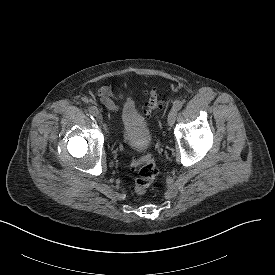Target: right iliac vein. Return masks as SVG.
<instances>
[{"mask_svg":"<svg viewBox=\"0 0 275 275\" xmlns=\"http://www.w3.org/2000/svg\"><path fill=\"white\" fill-rule=\"evenodd\" d=\"M94 116L97 121H102V115L98 110L95 112Z\"/></svg>","mask_w":275,"mask_h":275,"instance_id":"obj_1","label":"right iliac vein"}]
</instances>
